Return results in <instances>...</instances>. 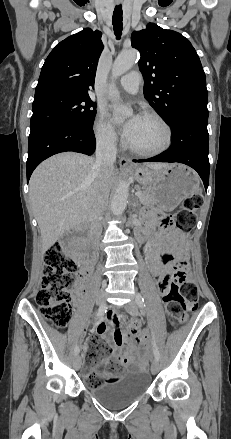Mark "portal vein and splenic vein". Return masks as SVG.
<instances>
[{
  "instance_id": "portal-vein-and-splenic-vein-1",
  "label": "portal vein and splenic vein",
  "mask_w": 231,
  "mask_h": 439,
  "mask_svg": "<svg viewBox=\"0 0 231 439\" xmlns=\"http://www.w3.org/2000/svg\"><path fill=\"white\" fill-rule=\"evenodd\" d=\"M137 197H140L141 196V193L140 192H136V194H135Z\"/></svg>"
}]
</instances>
